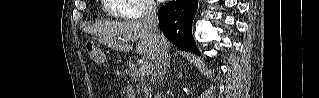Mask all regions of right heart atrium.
<instances>
[{
    "instance_id": "d8ad5b80",
    "label": "right heart atrium",
    "mask_w": 319,
    "mask_h": 98,
    "mask_svg": "<svg viewBox=\"0 0 319 98\" xmlns=\"http://www.w3.org/2000/svg\"><path fill=\"white\" fill-rule=\"evenodd\" d=\"M128 7L123 11L122 17L127 19H137L152 15L156 12V7L145 0H126Z\"/></svg>"
}]
</instances>
